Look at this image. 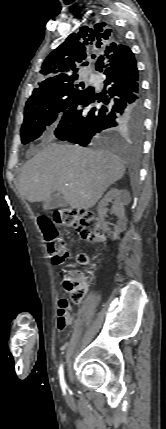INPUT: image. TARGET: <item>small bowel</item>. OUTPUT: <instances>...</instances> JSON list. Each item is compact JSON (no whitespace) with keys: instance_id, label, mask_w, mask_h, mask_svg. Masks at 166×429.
I'll use <instances>...</instances> for the list:
<instances>
[{"instance_id":"obj_1","label":"small bowel","mask_w":166,"mask_h":429,"mask_svg":"<svg viewBox=\"0 0 166 429\" xmlns=\"http://www.w3.org/2000/svg\"><path fill=\"white\" fill-rule=\"evenodd\" d=\"M74 318L72 307L66 298H60L57 302V328L63 331L70 325Z\"/></svg>"}]
</instances>
